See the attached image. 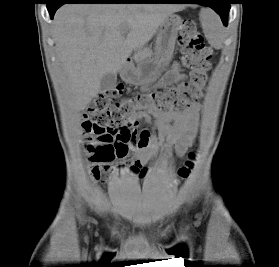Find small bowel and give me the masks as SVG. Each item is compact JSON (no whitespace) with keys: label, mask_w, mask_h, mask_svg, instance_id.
<instances>
[{"label":"small bowel","mask_w":279,"mask_h":267,"mask_svg":"<svg viewBox=\"0 0 279 267\" xmlns=\"http://www.w3.org/2000/svg\"><path fill=\"white\" fill-rule=\"evenodd\" d=\"M184 78L185 75L181 72L179 64L175 62L167 70L163 83L173 84ZM199 117L200 105L198 103H194L183 110L146 111L133 115L129 119V123L134 131L138 121L142 118L147 122H151L154 118L156 122L152 126L153 134L144 131L147 137L143 144L137 142L130 145L133 155L137 158V163L148 164L157 156H162L165 160L182 156L196 137ZM147 171V169L143 170L141 175L146 174Z\"/></svg>","instance_id":"1"}]
</instances>
